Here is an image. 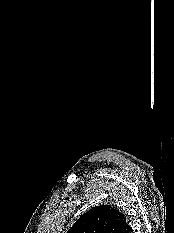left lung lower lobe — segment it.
I'll list each match as a JSON object with an SVG mask.
<instances>
[{
	"label": "left lung lower lobe",
	"instance_id": "0a47b994",
	"mask_svg": "<svg viewBox=\"0 0 174 233\" xmlns=\"http://www.w3.org/2000/svg\"><path fill=\"white\" fill-rule=\"evenodd\" d=\"M131 232H132L131 227L127 228V229L124 231V233H131Z\"/></svg>",
	"mask_w": 174,
	"mask_h": 233
}]
</instances>
